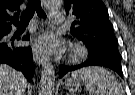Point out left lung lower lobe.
<instances>
[{"instance_id":"1","label":"left lung lower lobe","mask_w":135,"mask_h":95,"mask_svg":"<svg viewBox=\"0 0 135 95\" xmlns=\"http://www.w3.org/2000/svg\"><path fill=\"white\" fill-rule=\"evenodd\" d=\"M86 66L107 67L116 71L121 77H123L121 55L118 48L115 46H108L95 50H88V59L82 64L74 66L61 65L59 69V78H62L69 71H74Z\"/></svg>"}]
</instances>
